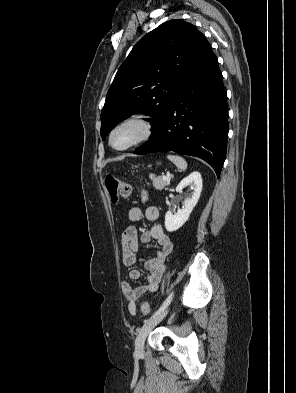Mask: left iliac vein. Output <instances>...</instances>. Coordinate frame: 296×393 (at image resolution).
<instances>
[{
	"instance_id": "1",
	"label": "left iliac vein",
	"mask_w": 296,
	"mask_h": 393,
	"mask_svg": "<svg viewBox=\"0 0 296 393\" xmlns=\"http://www.w3.org/2000/svg\"><path fill=\"white\" fill-rule=\"evenodd\" d=\"M168 313V309L163 310L157 316L152 318L150 321L147 322L139 332L136 341H135V354L136 355H143L144 353V344L148 334L152 331V329L160 323Z\"/></svg>"
}]
</instances>
